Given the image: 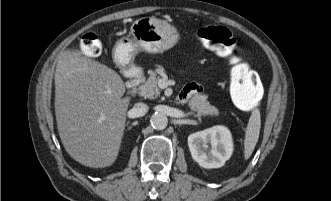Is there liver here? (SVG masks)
Returning a JSON list of instances; mask_svg holds the SVG:
<instances>
[{"label": "liver", "instance_id": "obj_1", "mask_svg": "<svg viewBox=\"0 0 331 201\" xmlns=\"http://www.w3.org/2000/svg\"><path fill=\"white\" fill-rule=\"evenodd\" d=\"M113 69L78 50L58 56L55 71V115L67 153L91 168L112 165L124 135L129 97Z\"/></svg>", "mask_w": 331, "mask_h": 201}]
</instances>
